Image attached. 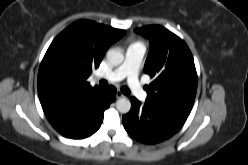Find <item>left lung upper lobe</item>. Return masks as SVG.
I'll return each instance as SVG.
<instances>
[{"label":"left lung upper lobe","instance_id":"obj_1","mask_svg":"<svg viewBox=\"0 0 248 165\" xmlns=\"http://www.w3.org/2000/svg\"><path fill=\"white\" fill-rule=\"evenodd\" d=\"M135 31L151 40L144 72L153 81L147 87V102L189 115L197 91L194 59L186 43L160 25Z\"/></svg>","mask_w":248,"mask_h":165}]
</instances>
